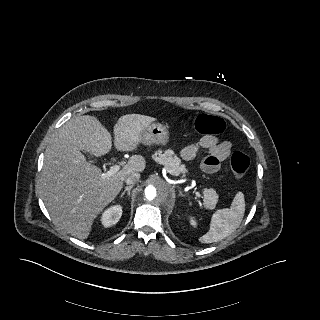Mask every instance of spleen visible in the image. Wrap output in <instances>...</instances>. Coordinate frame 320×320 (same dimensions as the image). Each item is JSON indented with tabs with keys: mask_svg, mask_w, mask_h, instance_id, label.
I'll return each mask as SVG.
<instances>
[{
	"mask_svg": "<svg viewBox=\"0 0 320 320\" xmlns=\"http://www.w3.org/2000/svg\"><path fill=\"white\" fill-rule=\"evenodd\" d=\"M245 213V200L238 192L230 208L219 209L213 213L209 231L199 238L201 243H213L231 235L241 224Z\"/></svg>",
	"mask_w": 320,
	"mask_h": 320,
	"instance_id": "spleen-1",
	"label": "spleen"
}]
</instances>
